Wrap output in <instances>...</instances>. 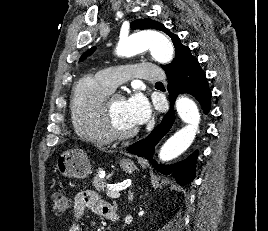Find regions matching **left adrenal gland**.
I'll list each match as a JSON object with an SVG mask.
<instances>
[{
  "mask_svg": "<svg viewBox=\"0 0 268 231\" xmlns=\"http://www.w3.org/2000/svg\"><path fill=\"white\" fill-rule=\"evenodd\" d=\"M133 198H134L133 192L131 190H129V193H128L129 202L133 201Z\"/></svg>",
  "mask_w": 268,
  "mask_h": 231,
  "instance_id": "left-adrenal-gland-1",
  "label": "left adrenal gland"
}]
</instances>
